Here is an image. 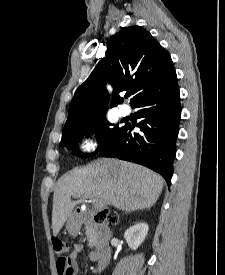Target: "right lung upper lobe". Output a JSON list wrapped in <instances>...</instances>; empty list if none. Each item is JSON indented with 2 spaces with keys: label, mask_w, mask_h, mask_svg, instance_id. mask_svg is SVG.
Wrapping results in <instances>:
<instances>
[{
  "label": "right lung upper lobe",
  "mask_w": 225,
  "mask_h": 275,
  "mask_svg": "<svg viewBox=\"0 0 225 275\" xmlns=\"http://www.w3.org/2000/svg\"><path fill=\"white\" fill-rule=\"evenodd\" d=\"M177 80L170 54L140 26L123 28L115 34L88 79L72 99L65 126L99 113H105L109 94L106 83L114 88L110 107L123 102L119 92L130 89L131 106L140 98L158 92Z\"/></svg>",
  "instance_id": "obj_1"
}]
</instances>
